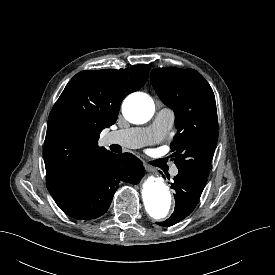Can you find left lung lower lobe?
Here are the masks:
<instances>
[{"instance_id":"left-lung-lower-lobe-1","label":"left lung lower lobe","mask_w":275,"mask_h":275,"mask_svg":"<svg viewBox=\"0 0 275 275\" xmlns=\"http://www.w3.org/2000/svg\"><path fill=\"white\" fill-rule=\"evenodd\" d=\"M173 180L171 186L175 190L176 207L168 220L157 223L161 226H172L194 210L206 185L207 176L196 170L179 169Z\"/></svg>"}]
</instances>
